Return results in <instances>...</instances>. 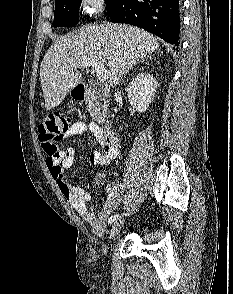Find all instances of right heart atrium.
Instances as JSON below:
<instances>
[{"instance_id":"1","label":"right heart atrium","mask_w":233,"mask_h":294,"mask_svg":"<svg viewBox=\"0 0 233 294\" xmlns=\"http://www.w3.org/2000/svg\"><path fill=\"white\" fill-rule=\"evenodd\" d=\"M105 8L104 0H80L81 12L88 17H98Z\"/></svg>"}]
</instances>
